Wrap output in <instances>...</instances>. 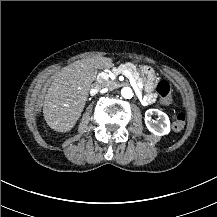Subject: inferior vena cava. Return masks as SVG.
Returning <instances> with one entry per match:
<instances>
[{
    "label": "inferior vena cava",
    "instance_id": "602c4592",
    "mask_svg": "<svg viewBox=\"0 0 217 217\" xmlns=\"http://www.w3.org/2000/svg\"><path fill=\"white\" fill-rule=\"evenodd\" d=\"M96 90H100L102 87L100 84H96L95 87H94Z\"/></svg>",
    "mask_w": 217,
    "mask_h": 217
}]
</instances>
